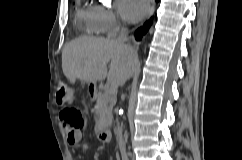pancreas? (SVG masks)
I'll return each mask as SVG.
<instances>
[{
    "label": "pancreas",
    "mask_w": 242,
    "mask_h": 160,
    "mask_svg": "<svg viewBox=\"0 0 242 160\" xmlns=\"http://www.w3.org/2000/svg\"><path fill=\"white\" fill-rule=\"evenodd\" d=\"M97 101L95 108V132L99 133L103 128L109 127L112 123V105L110 98L105 99L103 95H96L94 98Z\"/></svg>",
    "instance_id": "cf45deb5"
}]
</instances>
